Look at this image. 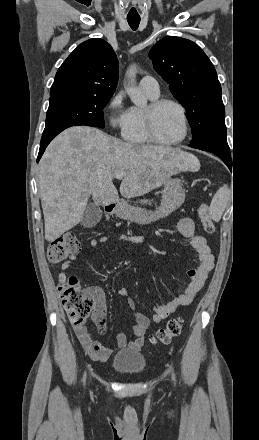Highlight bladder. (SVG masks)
<instances>
[{"mask_svg":"<svg viewBox=\"0 0 259 440\" xmlns=\"http://www.w3.org/2000/svg\"><path fill=\"white\" fill-rule=\"evenodd\" d=\"M146 365L144 355L139 351L123 349L116 353L112 360V367L122 374H138Z\"/></svg>","mask_w":259,"mask_h":440,"instance_id":"31cf9c89","label":"bladder"}]
</instances>
